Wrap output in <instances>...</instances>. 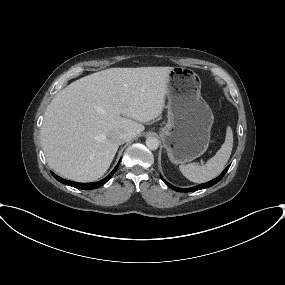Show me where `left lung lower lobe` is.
<instances>
[{
	"label": "left lung lower lobe",
	"mask_w": 285,
	"mask_h": 285,
	"mask_svg": "<svg viewBox=\"0 0 285 285\" xmlns=\"http://www.w3.org/2000/svg\"><path fill=\"white\" fill-rule=\"evenodd\" d=\"M229 166L227 168H225V170L215 179L207 182V183H203V184H199L197 186H194V187H191V188H177V187H174L173 185L169 184L167 181H165L162 176H161V179L163 180V182L169 186L171 189L177 191V192H192V191H197V190H201V189H204V188H208V187H211L213 186L214 184H216L217 182H219L223 176L225 175V173L227 172Z\"/></svg>",
	"instance_id": "left-lung-lower-lobe-1"
}]
</instances>
